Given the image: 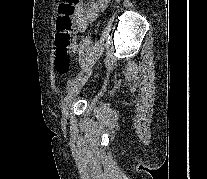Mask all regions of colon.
<instances>
[{"label": "colon", "mask_w": 207, "mask_h": 179, "mask_svg": "<svg viewBox=\"0 0 207 179\" xmlns=\"http://www.w3.org/2000/svg\"><path fill=\"white\" fill-rule=\"evenodd\" d=\"M80 0H62L58 8L56 19V34L54 37L56 56L54 66L59 74H66L71 65L69 51L71 50L73 37L71 34L76 6Z\"/></svg>", "instance_id": "colon-1"}]
</instances>
